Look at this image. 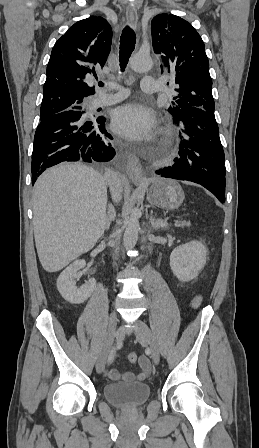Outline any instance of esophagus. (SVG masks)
I'll list each match as a JSON object with an SVG mask.
<instances>
[{"label": "esophagus", "instance_id": "34e87169", "mask_svg": "<svg viewBox=\"0 0 259 448\" xmlns=\"http://www.w3.org/2000/svg\"><path fill=\"white\" fill-rule=\"evenodd\" d=\"M126 19L129 25L134 28L136 27L138 16L136 8L132 4H129L126 8ZM126 171L133 183L140 184L143 181V168L141 162L132 152L128 155Z\"/></svg>", "mask_w": 259, "mask_h": 448}]
</instances>
